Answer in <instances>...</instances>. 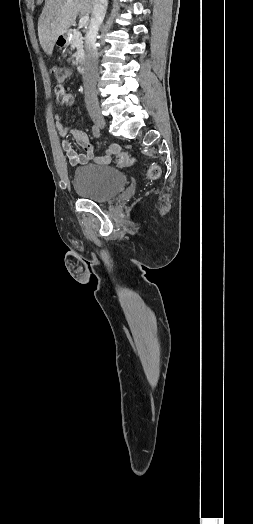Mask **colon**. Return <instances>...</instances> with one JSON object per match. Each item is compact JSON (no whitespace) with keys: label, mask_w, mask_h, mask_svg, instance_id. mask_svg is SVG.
<instances>
[{"label":"colon","mask_w":253,"mask_h":524,"mask_svg":"<svg viewBox=\"0 0 253 524\" xmlns=\"http://www.w3.org/2000/svg\"><path fill=\"white\" fill-rule=\"evenodd\" d=\"M63 61L66 67L61 65H53L50 67V74L54 78L56 90H61L63 88L64 82L71 74L70 68L74 66L76 56L73 53H66L63 56ZM135 161V157L127 152H120L116 156V163L120 167L133 165ZM160 174L161 170L157 165L152 164L149 166L147 175L150 179H157Z\"/></svg>","instance_id":"colon-1"}]
</instances>
